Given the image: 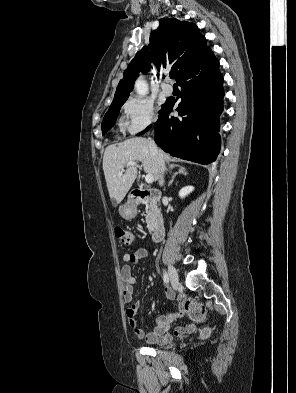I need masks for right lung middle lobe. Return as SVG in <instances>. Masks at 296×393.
<instances>
[{"instance_id": "obj_1", "label": "right lung middle lobe", "mask_w": 296, "mask_h": 393, "mask_svg": "<svg viewBox=\"0 0 296 393\" xmlns=\"http://www.w3.org/2000/svg\"><path fill=\"white\" fill-rule=\"evenodd\" d=\"M127 99L115 100L112 102L109 110L105 114L102 122V135H104L114 125L119 110ZM163 106V105H162Z\"/></svg>"}]
</instances>
